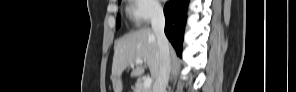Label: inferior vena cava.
I'll list each match as a JSON object with an SVG mask.
<instances>
[{
  "label": "inferior vena cava",
  "mask_w": 296,
  "mask_h": 92,
  "mask_svg": "<svg viewBox=\"0 0 296 92\" xmlns=\"http://www.w3.org/2000/svg\"><path fill=\"white\" fill-rule=\"evenodd\" d=\"M151 26L157 37L160 54V69L153 85V92H166L170 75L171 60L169 41L164 33L165 16L161 6H155L153 8Z\"/></svg>",
  "instance_id": "1"
}]
</instances>
